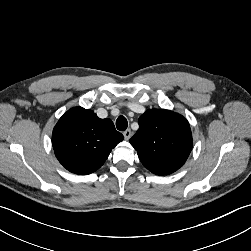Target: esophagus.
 <instances>
[{"label":"esophagus","instance_id":"34e87169","mask_svg":"<svg viewBox=\"0 0 251 251\" xmlns=\"http://www.w3.org/2000/svg\"><path fill=\"white\" fill-rule=\"evenodd\" d=\"M123 135L126 140H129L132 135V132L130 129H127L126 131H124Z\"/></svg>","mask_w":251,"mask_h":251}]
</instances>
